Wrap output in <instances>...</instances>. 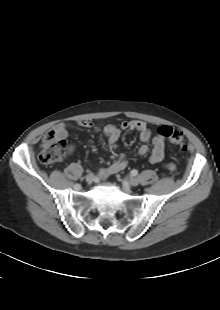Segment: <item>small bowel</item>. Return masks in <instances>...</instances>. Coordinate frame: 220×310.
Masks as SVG:
<instances>
[{"instance_id": "obj_1", "label": "small bowel", "mask_w": 220, "mask_h": 310, "mask_svg": "<svg viewBox=\"0 0 220 310\" xmlns=\"http://www.w3.org/2000/svg\"><path fill=\"white\" fill-rule=\"evenodd\" d=\"M77 124L80 127L92 129L94 131H101L106 136L108 140L109 148L115 153L113 161L99 170L98 176L101 179H106L112 174L122 171L127 166V160L123 153L118 152L117 141L121 136L122 131L131 130L136 131L139 134L140 146L138 147L136 154L139 156L146 155L150 149L151 153L149 156V162L156 164L164 159L165 155V138L159 134L152 136V131L148 124L141 120H130L115 122L107 124L104 127H99L94 125L92 122L87 120H79ZM54 131L62 138L66 139L69 136V125L66 123H58L54 127ZM68 151L72 153L74 151V146L70 145ZM165 168L170 171H176V165L174 163H168Z\"/></svg>"}]
</instances>
